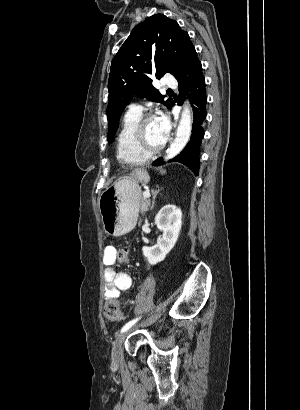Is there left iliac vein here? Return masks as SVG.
I'll list each match as a JSON object with an SVG mask.
<instances>
[{
    "instance_id": "left-iliac-vein-1",
    "label": "left iliac vein",
    "mask_w": 300,
    "mask_h": 410,
    "mask_svg": "<svg viewBox=\"0 0 300 410\" xmlns=\"http://www.w3.org/2000/svg\"><path fill=\"white\" fill-rule=\"evenodd\" d=\"M129 333V330L119 334L115 341L113 342V346H112V353H111V358H112V362L115 364H118L120 361V354H121V349H122V345L125 341V338L127 337Z\"/></svg>"
}]
</instances>
